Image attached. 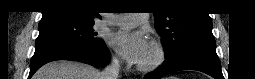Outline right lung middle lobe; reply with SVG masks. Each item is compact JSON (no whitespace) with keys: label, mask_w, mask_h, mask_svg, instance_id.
<instances>
[{"label":"right lung middle lobe","mask_w":255,"mask_h":79,"mask_svg":"<svg viewBox=\"0 0 255 79\" xmlns=\"http://www.w3.org/2000/svg\"><path fill=\"white\" fill-rule=\"evenodd\" d=\"M93 25L94 21L70 17L41 20L35 47L45 44L99 45L103 40L95 37Z\"/></svg>","instance_id":"dd1d6c3e"}]
</instances>
